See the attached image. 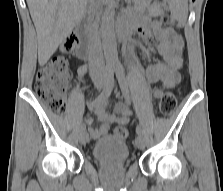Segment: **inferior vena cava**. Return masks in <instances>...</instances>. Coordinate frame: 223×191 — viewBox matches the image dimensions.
<instances>
[{
  "label": "inferior vena cava",
  "instance_id": "obj_1",
  "mask_svg": "<svg viewBox=\"0 0 223 191\" xmlns=\"http://www.w3.org/2000/svg\"><path fill=\"white\" fill-rule=\"evenodd\" d=\"M88 2H89V8L92 11H95L97 7V1L89 0ZM91 48L93 51L92 61L90 64L91 75H94L95 73H102L105 69V64L103 60L102 48L100 45L99 37L95 36L92 38Z\"/></svg>",
  "mask_w": 223,
  "mask_h": 191
}]
</instances>
